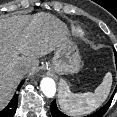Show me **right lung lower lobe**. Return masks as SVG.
<instances>
[{"instance_id": "right-lung-lower-lobe-1", "label": "right lung lower lobe", "mask_w": 117, "mask_h": 117, "mask_svg": "<svg viewBox=\"0 0 117 117\" xmlns=\"http://www.w3.org/2000/svg\"><path fill=\"white\" fill-rule=\"evenodd\" d=\"M23 83L24 81L20 83V85L17 88L18 90L20 89ZM17 103L18 94H15L10 103L0 112V117H12L16 112Z\"/></svg>"}]
</instances>
